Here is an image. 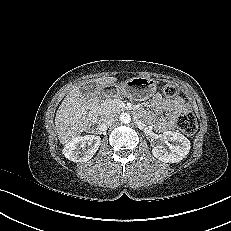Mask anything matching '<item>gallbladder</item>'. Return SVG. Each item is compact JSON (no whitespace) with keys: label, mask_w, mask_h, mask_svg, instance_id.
Listing matches in <instances>:
<instances>
[{"label":"gallbladder","mask_w":231,"mask_h":231,"mask_svg":"<svg viewBox=\"0 0 231 231\" xmlns=\"http://www.w3.org/2000/svg\"><path fill=\"white\" fill-rule=\"evenodd\" d=\"M80 90L83 95H85L86 97H90L99 92L101 90V86L95 81H88L80 87Z\"/></svg>","instance_id":"gallbladder-1"}]
</instances>
